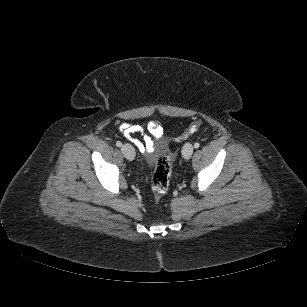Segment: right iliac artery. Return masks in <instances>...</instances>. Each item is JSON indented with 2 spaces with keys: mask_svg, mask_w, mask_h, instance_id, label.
I'll return each mask as SVG.
<instances>
[{
  "mask_svg": "<svg viewBox=\"0 0 307 307\" xmlns=\"http://www.w3.org/2000/svg\"><path fill=\"white\" fill-rule=\"evenodd\" d=\"M116 146L121 147V146H122V143H121L120 141H117V142H116Z\"/></svg>",
  "mask_w": 307,
  "mask_h": 307,
  "instance_id": "right-iliac-artery-1",
  "label": "right iliac artery"
}]
</instances>
